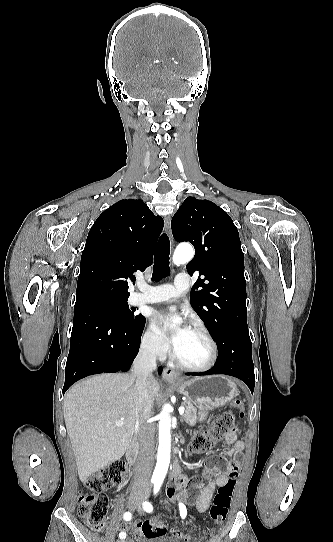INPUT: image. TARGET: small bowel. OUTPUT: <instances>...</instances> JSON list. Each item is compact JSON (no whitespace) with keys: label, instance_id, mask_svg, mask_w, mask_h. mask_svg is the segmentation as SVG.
Masks as SVG:
<instances>
[{"label":"small bowel","instance_id":"c3829d8e","mask_svg":"<svg viewBox=\"0 0 333 542\" xmlns=\"http://www.w3.org/2000/svg\"><path fill=\"white\" fill-rule=\"evenodd\" d=\"M225 441L227 444L232 445V447L226 451V455L232 457L235 462H240L242 460L241 454L245 444L241 439H239L238 433L236 431L229 432L225 436ZM209 460L212 463H218L221 460V455L218 452H212L209 455ZM209 471L214 472L216 474V478L205 484L197 496L195 506L199 512H205L210 507L217 487L223 486L227 483L235 484V479L226 476L218 469H210ZM188 483V476L182 473L172 477L165 487L166 496L174 502H182L187 505L190 504L189 494L186 490ZM138 527V523H126L118 526L117 528L123 533L132 531L137 535V537H140L137 532ZM173 535L179 539H182L183 541L185 539H189L186 534L177 529L173 530ZM130 542H134V540H130Z\"/></svg>","mask_w":333,"mask_h":542}]
</instances>
